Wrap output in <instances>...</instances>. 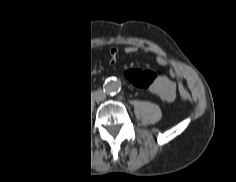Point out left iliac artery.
<instances>
[{
  "mask_svg": "<svg viewBox=\"0 0 236 182\" xmlns=\"http://www.w3.org/2000/svg\"><path fill=\"white\" fill-rule=\"evenodd\" d=\"M118 92H120V88H117L115 91L111 92L110 95L114 96L116 95Z\"/></svg>",
  "mask_w": 236,
  "mask_h": 182,
  "instance_id": "obj_1",
  "label": "left iliac artery"
}]
</instances>
